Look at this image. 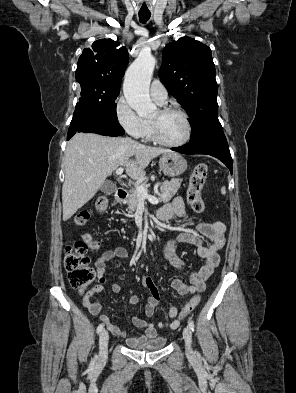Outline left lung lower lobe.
<instances>
[{"label":"left lung lower lobe","instance_id":"left-lung-lower-lobe-1","mask_svg":"<svg viewBox=\"0 0 296 393\" xmlns=\"http://www.w3.org/2000/svg\"><path fill=\"white\" fill-rule=\"evenodd\" d=\"M171 149L185 154H207L214 156L221 160L232 173V158L223 132L212 134L198 142Z\"/></svg>","mask_w":296,"mask_h":393}]
</instances>
